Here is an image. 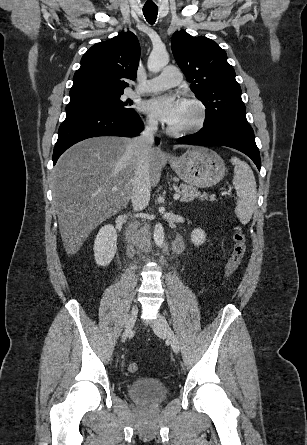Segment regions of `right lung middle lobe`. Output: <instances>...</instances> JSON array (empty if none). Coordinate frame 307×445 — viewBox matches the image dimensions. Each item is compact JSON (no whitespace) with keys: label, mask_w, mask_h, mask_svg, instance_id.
I'll return each mask as SVG.
<instances>
[{"label":"right lung middle lobe","mask_w":307,"mask_h":445,"mask_svg":"<svg viewBox=\"0 0 307 445\" xmlns=\"http://www.w3.org/2000/svg\"><path fill=\"white\" fill-rule=\"evenodd\" d=\"M122 94L115 95H94L84 96L70 99L69 104L66 107V112L82 111V110H107V111H120L126 114H137L134 109L126 107L132 105L131 100L124 102L120 99Z\"/></svg>","instance_id":"right-lung-middle-lobe-1"}]
</instances>
